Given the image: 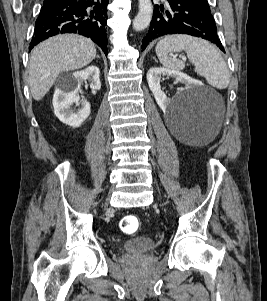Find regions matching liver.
<instances>
[{
	"mask_svg": "<svg viewBox=\"0 0 267 301\" xmlns=\"http://www.w3.org/2000/svg\"><path fill=\"white\" fill-rule=\"evenodd\" d=\"M95 57V44L81 35H57L41 42L33 49L29 61L28 83L32 97L41 100L60 73L81 69Z\"/></svg>",
	"mask_w": 267,
	"mask_h": 301,
	"instance_id": "1",
	"label": "liver"
}]
</instances>
